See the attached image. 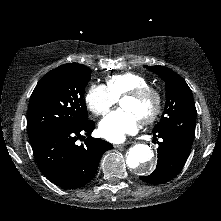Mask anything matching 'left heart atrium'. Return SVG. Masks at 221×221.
<instances>
[{"instance_id":"obj_1","label":"left heart atrium","mask_w":221,"mask_h":221,"mask_svg":"<svg viewBox=\"0 0 221 221\" xmlns=\"http://www.w3.org/2000/svg\"><path fill=\"white\" fill-rule=\"evenodd\" d=\"M139 126V118L127 109H118L99 123L100 135L111 142H122L127 135L134 134Z\"/></svg>"}]
</instances>
